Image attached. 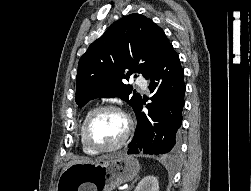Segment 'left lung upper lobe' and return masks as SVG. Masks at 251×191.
Here are the masks:
<instances>
[{
    "label": "left lung upper lobe",
    "mask_w": 251,
    "mask_h": 191,
    "mask_svg": "<svg viewBox=\"0 0 251 191\" xmlns=\"http://www.w3.org/2000/svg\"><path fill=\"white\" fill-rule=\"evenodd\" d=\"M172 48L164 31L143 15L116 21L79 60L76 103L81 108L91 99L117 96L135 112L142 98L135 92L131 95L133 88L126 81L134 73L151 78Z\"/></svg>",
    "instance_id": "left-lung-upper-lobe-1"
}]
</instances>
